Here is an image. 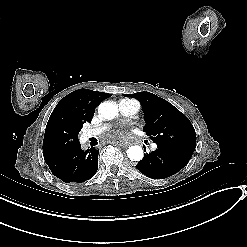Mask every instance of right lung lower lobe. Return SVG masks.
<instances>
[{
	"mask_svg": "<svg viewBox=\"0 0 247 247\" xmlns=\"http://www.w3.org/2000/svg\"><path fill=\"white\" fill-rule=\"evenodd\" d=\"M98 152L94 148L84 151L76 143L60 152L44 154V159L52 174L63 182L82 183L97 172Z\"/></svg>",
	"mask_w": 247,
	"mask_h": 247,
	"instance_id": "obj_1",
	"label": "right lung lower lobe"
}]
</instances>
